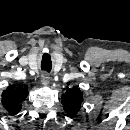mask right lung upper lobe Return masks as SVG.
<instances>
[{"label": "right lung upper lobe", "instance_id": "obj_1", "mask_svg": "<svg viewBox=\"0 0 130 130\" xmlns=\"http://www.w3.org/2000/svg\"><path fill=\"white\" fill-rule=\"evenodd\" d=\"M28 96V90L23 85H10L2 93L3 107L10 115H15L20 112L24 101Z\"/></svg>", "mask_w": 130, "mask_h": 130}]
</instances>
